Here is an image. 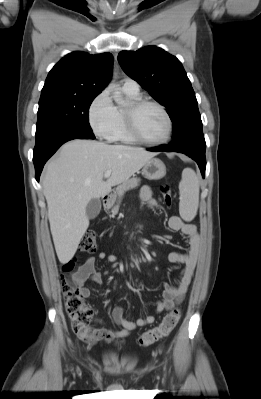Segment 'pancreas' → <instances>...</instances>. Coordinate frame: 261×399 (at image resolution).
<instances>
[{
    "instance_id": "cf45deb5",
    "label": "pancreas",
    "mask_w": 261,
    "mask_h": 399,
    "mask_svg": "<svg viewBox=\"0 0 261 399\" xmlns=\"http://www.w3.org/2000/svg\"><path fill=\"white\" fill-rule=\"evenodd\" d=\"M140 183V179L139 178H131L127 181H125L124 183H122L121 185H119L116 188V194L118 196V202L117 204L112 208V213L117 214L119 211V205L121 202V199L123 197V195L125 194L126 191L133 189L135 187H137Z\"/></svg>"
}]
</instances>
